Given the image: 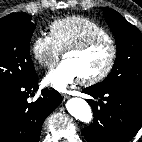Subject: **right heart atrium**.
Instances as JSON below:
<instances>
[{
    "label": "right heart atrium",
    "mask_w": 142,
    "mask_h": 142,
    "mask_svg": "<svg viewBox=\"0 0 142 142\" xmlns=\"http://www.w3.org/2000/svg\"><path fill=\"white\" fill-rule=\"evenodd\" d=\"M31 51L36 62L45 68H50L58 61L61 51L49 35L36 36L31 45Z\"/></svg>",
    "instance_id": "1"
}]
</instances>
